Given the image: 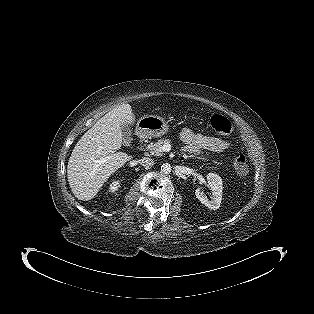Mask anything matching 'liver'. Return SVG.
<instances>
[{
    "label": "liver",
    "mask_w": 314,
    "mask_h": 314,
    "mask_svg": "<svg viewBox=\"0 0 314 314\" xmlns=\"http://www.w3.org/2000/svg\"><path fill=\"white\" fill-rule=\"evenodd\" d=\"M135 115L122 104L100 118L77 142L67 166L69 186L76 198L93 199L107 179L133 157L121 148L122 126L132 125ZM107 161L102 163V159Z\"/></svg>",
    "instance_id": "1"
}]
</instances>
